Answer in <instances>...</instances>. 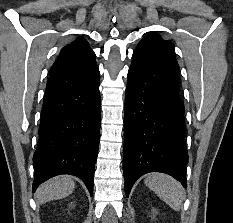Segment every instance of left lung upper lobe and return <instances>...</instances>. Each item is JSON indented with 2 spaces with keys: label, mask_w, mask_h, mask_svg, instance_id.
Instances as JSON below:
<instances>
[{
  "label": "left lung upper lobe",
  "mask_w": 233,
  "mask_h": 223,
  "mask_svg": "<svg viewBox=\"0 0 233 223\" xmlns=\"http://www.w3.org/2000/svg\"><path fill=\"white\" fill-rule=\"evenodd\" d=\"M143 39H148L153 41L157 46L161 47L164 51L171 55H174V44L168 40H163L160 36L156 34L146 35Z\"/></svg>",
  "instance_id": "1"
}]
</instances>
